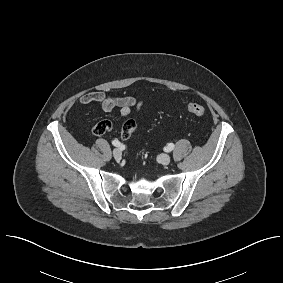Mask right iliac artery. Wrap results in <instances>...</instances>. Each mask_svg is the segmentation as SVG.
Masks as SVG:
<instances>
[{
	"label": "right iliac artery",
	"mask_w": 283,
	"mask_h": 283,
	"mask_svg": "<svg viewBox=\"0 0 283 283\" xmlns=\"http://www.w3.org/2000/svg\"><path fill=\"white\" fill-rule=\"evenodd\" d=\"M112 144L116 147H122L123 146L118 140L112 141Z\"/></svg>",
	"instance_id": "1"
}]
</instances>
